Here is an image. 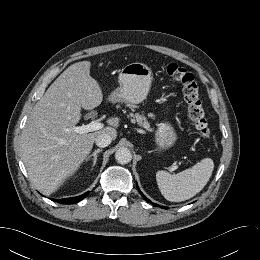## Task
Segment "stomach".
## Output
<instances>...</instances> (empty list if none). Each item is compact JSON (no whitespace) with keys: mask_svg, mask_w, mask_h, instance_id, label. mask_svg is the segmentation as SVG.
Segmentation results:
<instances>
[{"mask_svg":"<svg viewBox=\"0 0 260 260\" xmlns=\"http://www.w3.org/2000/svg\"><path fill=\"white\" fill-rule=\"evenodd\" d=\"M152 80L153 73L150 67L144 63H130L122 68L119 74L120 86L110 94L109 99L112 102L138 104L146 99ZM176 140L177 134L169 122L158 125L155 142L159 150L171 148Z\"/></svg>","mask_w":260,"mask_h":260,"instance_id":"obj_1","label":"stomach"}]
</instances>
